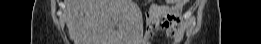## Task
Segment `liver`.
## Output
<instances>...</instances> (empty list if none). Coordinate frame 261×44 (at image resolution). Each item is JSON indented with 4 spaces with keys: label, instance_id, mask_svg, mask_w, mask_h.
I'll return each instance as SVG.
<instances>
[{
    "label": "liver",
    "instance_id": "6515ba94",
    "mask_svg": "<svg viewBox=\"0 0 261 44\" xmlns=\"http://www.w3.org/2000/svg\"><path fill=\"white\" fill-rule=\"evenodd\" d=\"M77 44H138L142 37L138 8L132 0H69Z\"/></svg>",
    "mask_w": 261,
    "mask_h": 44
}]
</instances>
